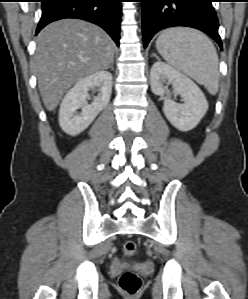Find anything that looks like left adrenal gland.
Masks as SVG:
<instances>
[{"label": "left adrenal gland", "instance_id": "1", "mask_svg": "<svg viewBox=\"0 0 248 299\" xmlns=\"http://www.w3.org/2000/svg\"><path fill=\"white\" fill-rule=\"evenodd\" d=\"M152 56H154V57H156L158 59V56L155 53H153Z\"/></svg>", "mask_w": 248, "mask_h": 299}]
</instances>
